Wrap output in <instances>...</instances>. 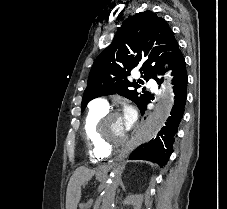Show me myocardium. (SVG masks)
Returning a JSON list of instances; mask_svg holds the SVG:
<instances>
[{
  "label": "myocardium",
  "mask_w": 227,
  "mask_h": 209,
  "mask_svg": "<svg viewBox=\"0 0 227 209\" xmlns=\"http://www.w3.org/2000/svg\"><path fill=\"white\" fill-rule=\"evenodd\" d=\"M120 116V114L116 111H107L97 122L95 127V137L97 143L107 152H112L115 150H118L121 147H124L127 145L132 138L129 136L127 139L116 141V142H110L106 139L104 135V128L107 122L115 117Z\"/></svg>",
  "instance_id": "f54148a6"
}]
</instances>
